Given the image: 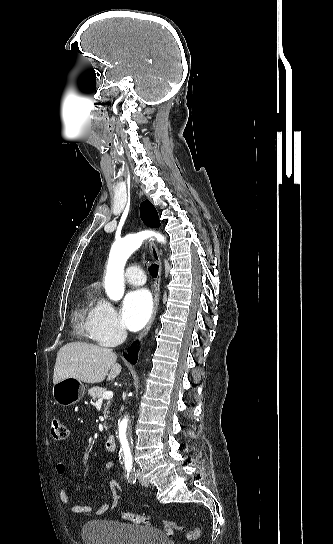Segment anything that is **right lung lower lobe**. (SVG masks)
Returning <instances> with one entry per match:
<instances>
[{
	"label": "right lung lower lobe",
	"instance_id": "right-lung-lower-lobe-1",
	"mask_svg": "<svg viewBox=\"0 0 333 544\" xmlns=\"http://www.w3.org/2000/svg\"><path fill=\"white\" fill-rule=\"evenodd\" d=\"M124 357L130 363L135 364L138 358L137 349L136 348L129 349L128 355L124 354Z\"/></svg>",
	"mask_w": 333,
	"mask_h": 544
}]
</instances>
